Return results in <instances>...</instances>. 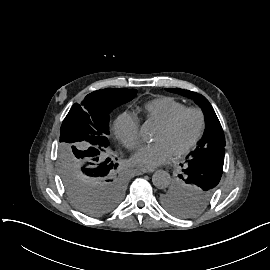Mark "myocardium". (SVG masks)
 <instances>
[{"instance_id":"f54148a6","label":"myocardium","mask_w":270,"mask_h":270,"mask_svg":"<svg viewBox=\"0 0 270 270\" xmlns=\"http://www.w3.org/2000/svg\"><path fill=\"white\" fill-rule=\"evenodd\" d=\"M187 113L196 114V116L198 118V126H197L196 133H195L194 137L192 138V140L188 144H186L185 146H183L177 150L178 156H181V155L188 153L191 149H193L195 147V145L199 141L201 134H202L203 127H204V114H203V112L199 108H196V107L184 108L183 110L179 111L178 113L173 115L170 119H168L167 121H165L161 124L165 129L172 130L173 128L176 127V125L180 122V120Z\"/></svg>"}]
</instances>
